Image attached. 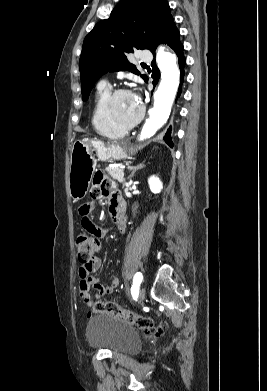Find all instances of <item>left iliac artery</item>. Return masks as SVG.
<instances>
[{
    "mask_svg": "<svg viewBox=\"0 0 267 391\" xmlns=\"http://www.w3.org/2000/svg\"><path fill=\"white\" fill-rule=\"evenodd\" d=\"M143 276L140 272L136 273L133 279V286H132V293L133 292H138L139 286L142 282Z\"/></svg>",
    "mask_w": 267,
    "mask_h": 391,
    "instance_id": "left-iliac-artery-1",
    "label": "left iliac artery"
}]
</instances>
